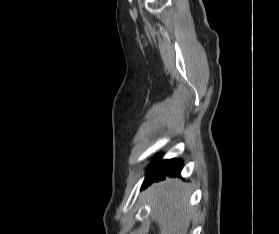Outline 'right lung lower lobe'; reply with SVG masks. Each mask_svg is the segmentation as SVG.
<instances>
[{
  "label": "right lung lower lobe",
  "instance_id": "1",
  "mask_svg": "<svg viewBox=\"0 0 279 234\" xmlns=\"http://www.w3.org/2000/svg\"><path fill=\"white\" fill-rule=\"evenodd\" d=\"M161 154L155 156L156 163L149 169V172L144 180L142 188H146L153 182L165 179L166 175L168 176H179L183 163L181 160H163L159 161Z\"/></svg>",
  "mask_w": 279,
  "mask_h": 234
}]
</instances>
